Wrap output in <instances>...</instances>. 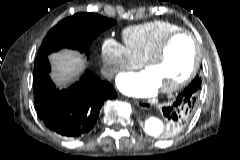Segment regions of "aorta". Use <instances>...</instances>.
I'll list each match as a JSON object with an SVG mask.
<instances>
[{
	"mask_svg": "<svg viewBox=\"0 0 240 160\" xmlns=\"http://www.w3.org/2000/svg\"><path fill=\"white\" fill-rule=\"evenodd\" d=\"M165 123L158 117L150 116L144 121L145 132L153 137H160L165 131Z\"/></svg>",
	"mask_w": 240,
	"mask_h": 160,
	"instance_id": "1",
	"label": "aorta"
}]
</instances>
